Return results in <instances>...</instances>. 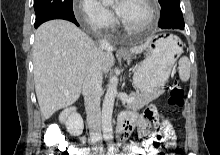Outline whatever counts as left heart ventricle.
Returning a JSON list of instances; mask_svg holds the SVG:
<instances>
[{"instance_id":"obj_1","label":"left heart ventricle","mask_w":220,"mask_h":155,"mask_svg":"<svg viewBox=\"0 0 220 155\" xmlns=\"http://www.w3.org/2000/svg\"><path fill=\"white\" fill-rule=\"evenodd\" d=\"M148 16V8L142 0H127L121 19L131 26H140L147 21Z\"/></svg>"}]
</instances>
